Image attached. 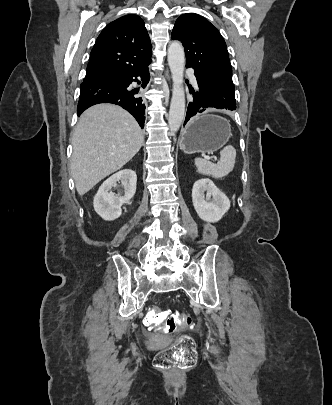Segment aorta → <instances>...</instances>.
Segmentation results:
<instances>
[{
	"label": "aorta",
	"mask_w": 332,
	"mask_h": 405,
	"mask_svg": "<svg viewBox=\"0 0 332 405\" xmlns=\"http://www.w3.org/2000/svg\"><path fill=\"white\" fill-rule=\"evenodd\" d=\"M168 64L173 80L168 125L170 133L174 134L179 130L185 116V92L183 87L185 53L181 43L174 41L169 45Z\"/></svg>",
	"instance_id": "762f6f07"
}]
</instances>
